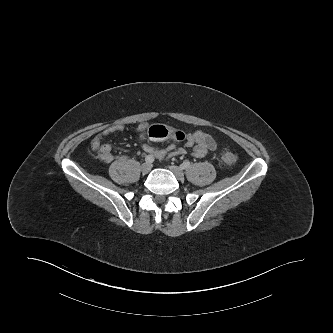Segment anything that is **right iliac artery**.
Segmentation results:
<instances>
[{"instance_id": "obj_1", "label": "right iliac artery", "mask_w": 333, "mask_h": 333, "mask_svg": "<svg viewBox=\"0 0 333 333\" xmlns=\"http://www.w3.org/2000/svg\"><path fill=\"white\" fill-rule=\"evenodd\" d=\"M145 161L148 162V163H153L154 162V157L151 156V155H147L145 157Z\"/></svg>"}]
</instances>
